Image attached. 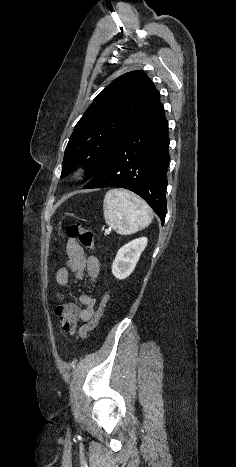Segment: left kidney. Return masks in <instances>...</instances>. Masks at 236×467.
Masks as SVG:
<instances>
[{"instance_id":"1","label":"left kidney","mask_w":236,"mask_h":467,"mask_svg":"<svg viewBox=\"0 0 236 467\" xmlns=\"http://www.w3.org/2000/svg\"><path fill=\"white\" fill-rule=\"evenodd\" d=\"M147 238L141 237L122 246L112 264V274L119 280L126 279L135 269L141 253L147 246Z\"/></svg>"}]
</instances>
